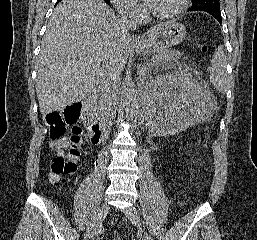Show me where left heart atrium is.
Segmentation results:
<instances>
[{
    "label": "left heart atrium",
    "mask_w": 257,
    "mask_h": 240,
    "mask_svg": "<svg viewBox=\"0 0 257 240\" xmlns=\"http://www.w3.org/2000/svg\"><path fill=\"white\" fill-rule=\"evenodd\" d=\"M143 1H144V4H145L147 7H149V8L152 7L153 2H154V0H143Z\"/></svg>",
    "instance_id": "left-heart-atrium-1"
}]
</instances>
